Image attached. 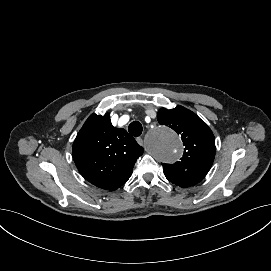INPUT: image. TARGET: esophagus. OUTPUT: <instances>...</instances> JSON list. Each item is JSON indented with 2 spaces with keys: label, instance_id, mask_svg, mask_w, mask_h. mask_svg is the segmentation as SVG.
Masks as SVG:
<instances>
[{
  "label": "esophagus",
  "instance_id": "1",
  "mask_svg": "<svg viewBox=\"0 0 271 271\" xmlns=\"http://www.w3.org/2000/svg\"><path fill=\"white\" fill-rule=\"evenodd\" d=\"M136 141L138 142L139 145H143V140H142V138L137 137V138H136Z\"/></svg>",
  "mask_w": 271,
  "mask_h": 271
}]
</instances>
